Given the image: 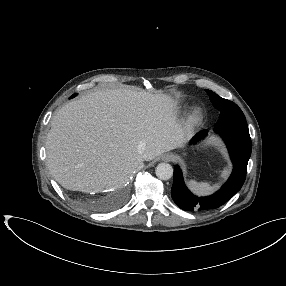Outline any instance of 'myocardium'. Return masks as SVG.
Listing matches in <instances>:
<instances>
[{"instance_id": "1", "label": "myocardium", "mask_w": 286, "mask_h": 286, "mask_svg": "<svg viewBox=\"0 0 286 286\" xmlns=\"http://www.w3.org/2000/svg\"><path fill=\"white\" fill-rule=\"evenodd\" d=\"M191 119L194 122H199L202 119V112L200 109H194L191 113Z\"/></svg>"}]
</instances>
